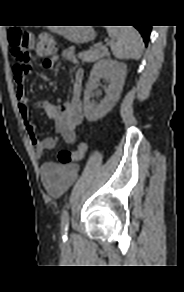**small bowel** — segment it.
<instances>
[{
	"label": "small bowel",
	"instance_id": "small-bowel-1",
	"mask_svg": "<svg viewBox=\"0 0 184 292\" xmlns=\"http://www.w3.org/2000/svg\"><path fill=\"white\" fill-rule=\"evenodd\" d=\"M77 64L78 60L73 47L63 50L61 56L53 55L45 59L43 67L53 68L60 60ZM28 71L21 72L14 66L15 95L20 116L29 140L33 146L35 155L42 156L45 151L52 150L57 144L54 138L38 139L36 126L30 121L29 102L25 96V78ZM84 79V71L78 68L73 77L71 87V99L62 105H55L48 101L41 100L37 103L46 112V115L55 123L57 132L61 135L64 142L72 144L76 141V128L83 120L81 89ZM78 176V166L76 164L62 165L52 161L44 162L41 166V181L48 194L54 197L61 196L75 182Z\"/></svg>",
	"mask_w": 184,
	"mask_h": 292
}]
</instances>
